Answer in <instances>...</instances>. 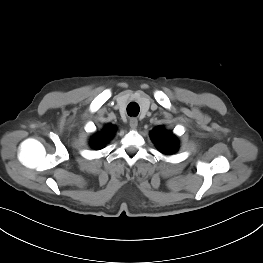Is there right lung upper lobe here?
<instances>
[{"label": "right lung upper lobe", "instance_id": "cb5924a9", "mask_svg": "<svg viewBox=\"0 0 263 263\" xmlns=\"http://www.w3.org/2000/svg\"><path fill=\"white\" fill-rule=\"evenodd\" d=\"M115 132L116 128L113 125L109 124L105 126L101 132H98L94 137H92L90 140L91 147L95 150L103 148Z\"/></svg>", "mask_w": 263, "mask_h": 263}]
</instances>
